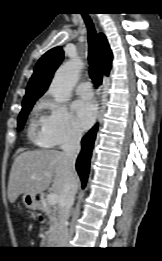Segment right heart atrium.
I'll use <instances>...</instances> for the list:
<instances>
[{"mask_svg": "<svg viewBox=\"0 0 162 261\" xmlns=\"http://www.w3.org/2000/svg\"><path fill=\"white\" fill-rule=\"evenodd\" d=\"M41 105L47 114L39 121L38 143L47 146H68L80 140L81 131L65 105L57 104L49 98L43 100Z\"/></svg>", "mask_w": 162, "mask_h": 261, "instance_id": "right-heart-atrium-1", "label": "right heart atrium"}]
</instances>
